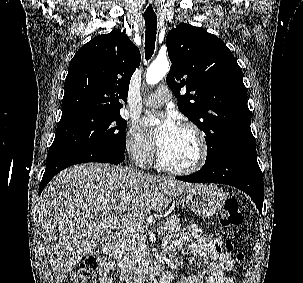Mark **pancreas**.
Returning a JSON list of instances; mask_svg holds the SVG:
<instances>
[{
    "mask_svg": "<svg viewBox=\"0 0 303 283\" xmlns=\"http://www.w3.org/2000/svg\"><path fill=\"white\" fill-rule=\"evenodd\" d=\"M168 224L163 225V234L170 235L180 230V219L175 215L167 217ZM115 258L118 265L127 270L143 260L146 256L145 234L140 226H132L121 235L116 243Z\"/></svg>",
    "mask_w": 303,
    "mask_h": 283,
    "instance_id": "obj_1",
    "label": "pancreas"
}]
</instances>
